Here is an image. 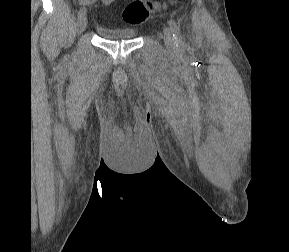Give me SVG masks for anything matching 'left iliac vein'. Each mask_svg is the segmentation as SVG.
<instances>
[{"label": "left iliac vein", "instance_id": "1", "mask_svg": "<svg viewBox=\"0 0 289 252\" xmlns=\"http://www.w3.org/2000/svg\"><path fill=\"white\" fill-rule=\"evenodd\" d=\"M163 38H164L166 48L169 51H174L175 50V41H174V38L172 36L171 31L168 28H164Z\"/></svg>", "mask_w": 289, "mask_h": 252}]
</instances>
